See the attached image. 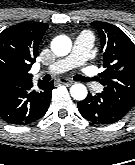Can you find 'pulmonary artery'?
<instances>
[{"mask_svg": "<svg viewBox=\"0 0 135 165\" xmlns=\"http://www.w3.org/2000/svg\"><path fill=\"white\" fill-rule=\"evenodd\" d=\"M91 48L92 36L86 32L81 33L75 39L73 49L68 56L55 61L41 72L58 74L73 68H80L81 75L85 77L89 83H91L95 90L100 92L102 87L94 82L90 67L87 66V60Z\"/></svg>", "mask_w": 135, "mask_h": 165, "instance_id": "1", "label": "pulmonary artery"}]
</instances>
